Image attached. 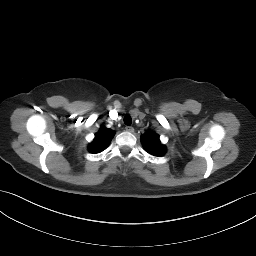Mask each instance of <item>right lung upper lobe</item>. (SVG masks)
Wrapping results in <instances>:
<instances>
[{
  "label": "right lung upper lobe",
  "mask_w": 256,
  "mask_h": 256,
  "mask_svg": "<svg viewBox=\"0 0 256 256\" xmlns=\"http://www.w3.org/2000/svg\"><path fill=\"white\" fill-rule=\"evenodd\" d=\"M113 136L114 131L105 127H101L99 132L95 135L93 142L90 144L89 151L91 153L102 152L108 147Z\"/></svg>",
  "instance_id": "cb5924a9"
}]
</instances>
